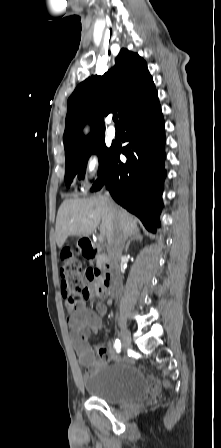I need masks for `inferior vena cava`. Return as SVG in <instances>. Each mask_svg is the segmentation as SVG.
<instances>
[{
	"label": "inferior vena cava",
	"instance_id": "inferior-vena-cava-1",
	"mask_svg": "<svg viewBox=\"0 0 221 448\" xmlns=\"http://www.w3.org/2000/svg\"><path fill=\"white\" fill-rule=\"evenodd\" d=\"M110 207L113 210L115 209V204L114 202L110 199ZM125 241H126V237L121 233L120 229L116 230V234H115V242L114 245L112 246V255L115 258V260H118L120 258V256L122 255L124 246H125Z\"/></svg>",
	"mask_w": 221,
	"mask_h": 448
}]
</instances>
